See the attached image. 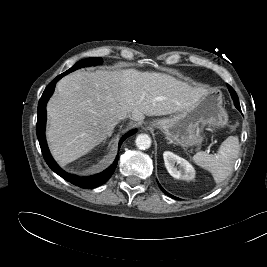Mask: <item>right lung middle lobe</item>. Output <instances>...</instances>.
<instances>
[{"label":"right lung middle lobe","instance_id":"right-lung-middle-lobe-1","mask_svg":"<svg viewBox=\"0 0 267 267\" xmlns=\"http://www.w3.org/2000/svg\"><path fill=\"white\" fill-rule=\"evenodd\" d=\"M102 62H103L102 58H100V57L84 59V60L77 62L73 67H71L69 70H67L63 74L66 75V74H68V73H70L76 69H79L81 67H86V66H90V65H97V64H101Z\"/></svg>","mask_w":267,"mask_h":267}]
</instances>
